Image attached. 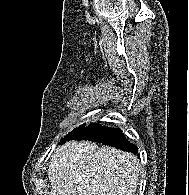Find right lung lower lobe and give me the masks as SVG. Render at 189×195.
<instances>
[{"label":"right lung lower lobe","mask_w":189,"mask_h":195,"mask_svg":"<svg viewBox=\"0 0 189 195\" xmlns=\"http://www.w3.org/2000/svg\"><path fill=\"white\" fill-rule=\"evenodd\" d=\"M88 140L104 145L114 146L123 151L131 152L137 154L138 149L135 145L131 144L122 131L119 128H109L101 126L100 124H90L87 127H84L77 135L74 137L68 138L61 143H64L67 140Z\"/></svg>","instance_id":"obj_1"}]
</instances>
